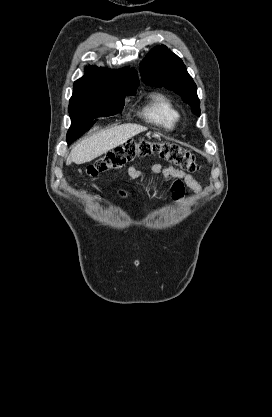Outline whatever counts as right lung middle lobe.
I'll return each instance as SVG.
<instances>
[{
  "instance_id": "right-lung-middle-lobe-1",
  "label": "right lung middle lobe",
  "mask_w": 272,
  "mask_h": 417,
  "mask_svg": "<svg viewBox=\"0 0 272 417\" xmlns=\"http://www.w3.org/2000/svg\"><path fill=\"white\" fill-rule=\"evenodd\" d=\"M137 89L121 93L94 94L88 98L70 102L68 109L72 121L67 133V143L71 144L89 130L99 117L116 115L124 107V97L135 95Z\"/></svg>"
}]
</instances>
